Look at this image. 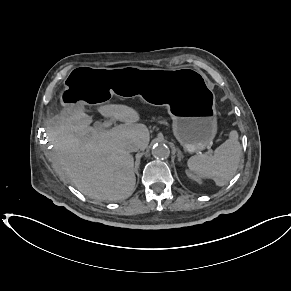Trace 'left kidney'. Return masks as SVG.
I'll return each instance as SVG.
<instances>
[{"label":"left kidney","instance_id":"obj_1","mask_svg":"<svg viewBox=\"0 0 291 291\" xmlns=\"http://www.w3.org/2000/svg\"><path fill=\"white\" fill-rule=\"evenodd\" d=\"M186 174L187 176L190 178V179H193L195 181H199L198 178H196L192 173H190L189 171H186Z\"/></svg>","mask_w":291,"mask_h":291}]
</instances>
